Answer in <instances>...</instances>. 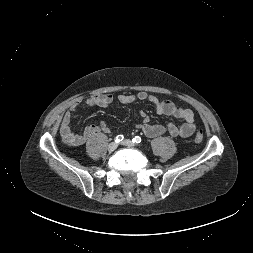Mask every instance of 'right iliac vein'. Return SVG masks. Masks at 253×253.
I'll list each match as a JSON object with an SVG mask.
<instances>
[{"label": "right iliac vein", "mask_w": 253, "mask_h": 253, "mask_svg": "<svg viewBox=\"0 0 253 253\" xmlns=\"http://www.w3.org/2000/svg\"><path fill=\"white\" fill-rule=\"evenodd\" d=\"M118 147V144L116 142H112L108 145L109 151H114Z\"/></svg>", "instance_id": "right-iliac-vein-1"}]
</instances>
